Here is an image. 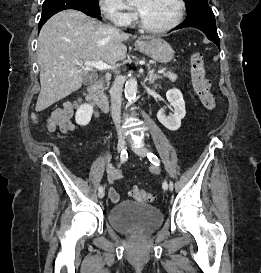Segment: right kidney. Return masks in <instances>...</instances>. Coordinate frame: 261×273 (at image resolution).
Returning <instances> with one entry per match:
<instances>
[{"label":"right kidney","instance_id":"1","mask_svg":"<svg viewBox=\"0 0 261 273\" xmlns=\"http://www.w3.org/2000/svg\"><path fill=\"white\" fill-rule=\"evenodd\" d=\"M93 107L89 104H83L76 112L75 120L80 126H86L91 121Z\"/></svg>","mask_w":261,"mask_h":273}]
</instances>
